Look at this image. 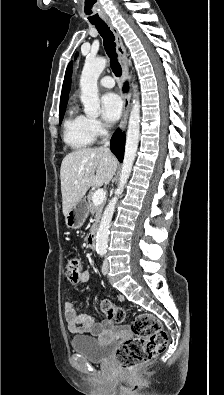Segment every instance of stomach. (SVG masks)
I'll return each instance as SVG.
<instances>
[{
	"instance_id": "obj_1",
	"label": "stomach",
	"mask_w": 224,
	"mask_h": 395,
	"mask_svg": "<svg viewBox=\"0 0 224 395\" xmlns=\"http://www.w3.org/2000/svg\"><path fill=\"white\" fill-rule=\"evenodd\" d=\"M87 216V204L81 200L66 214V226L71 229H78L83 225Z\"/></svg>"
}]
</instances>
